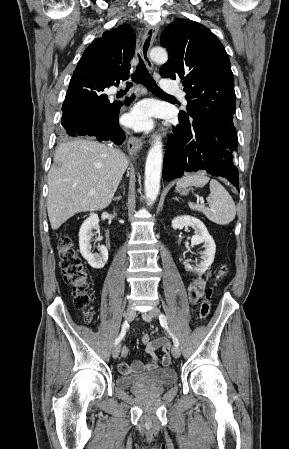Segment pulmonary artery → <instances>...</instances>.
<instances>
[{"mask_svg":"<svg viewBox=\"0 0 289 449\" xmlns=\"http://www.w3.org/2000/svg\"><path fill=\"white\" fill-rule=\"evenodd\" d=\"M161 85H162V87H163L164 89H169V87H170V82L167 81V80H162V81H161ZM180 96L182 97L183 101L185 102V99H184L183 95L180 94Z\"/></svg>","mask_w":289,"mask_h":449,"instance_id":"1","label":"pulmonary artery"}]
</instances>
